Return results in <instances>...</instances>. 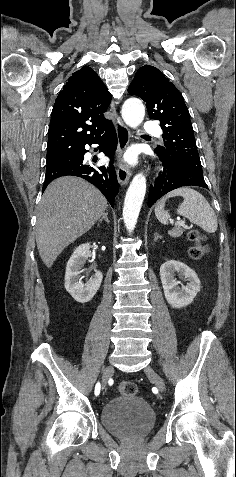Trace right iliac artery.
Instances as JSON below:
<instances>
[{
    "label": "right iliac artery",
    "mask_w": 236,
    "mask_h": 477,
    "mask_svg": "<svg viewBox=\"0 0 236 477\" xmlns=\"http://www.w3.org/2000/svg\"><path fill=\"white\" fill-rule=\"evenodd\" d=\"M100 389H101V385H100V383L98 382V383L96 384V386H95V395H96L97 398L99 397L98 395H99V393H100Z\"/></svg>",
    "instance_id": "obj_1"
}]
</instances>
